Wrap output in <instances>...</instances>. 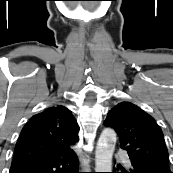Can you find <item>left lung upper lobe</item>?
<instances>
[{"instance_id": "left-lung-upper-lobe-1", "label": "left lung upper lobe", "mask_w": 173, "mask_h": 173, "mask_svg": "<svg viewBox=\"0 0 173 173\" xmlns=\"http://www.w3.org/2000/svg\"><path fill=\"white\" fill-rule=\"evenodd\" d=\"M104 124L116 131L131 162L172 173L162 130L152 116L130 102H121L109 111Z\"/></svg>"}]
</instances>
